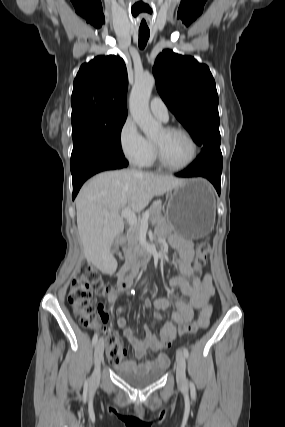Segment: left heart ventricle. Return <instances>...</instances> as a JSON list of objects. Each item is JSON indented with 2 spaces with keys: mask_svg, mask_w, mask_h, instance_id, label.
Returning a JSON list of instances; mask_svg holds the SVG:
<instances>
[{
  "mask_svg": "<svg viewBox=\"0 0 285 427\" xmlns=\"http://www.w3.org/2000/svg\"><path fill=\"white\" fill-rule=\"evenodd\" d=\"M153 142L160 146L166 162L174 166L187 162L192 153L190 141L181 133H166L162 129Z\"/></svg>",
  "mask_w": 285,
  "mask_h": 427,
  "instance_id": "obj_1",
  "label": "left heart ventricle"
}]
</instances>
